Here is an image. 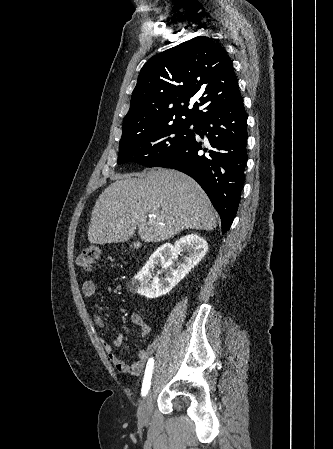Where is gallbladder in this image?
Returning a JSON list of instances; mask_svg holds the SVG:
<instances>
[{
  "mask_svg": "<svg viewBox=\"0 0 333 449\" xmlns=\"http://www.w3.org/2000/svg\"><path fill=\"white\" fill-rule=\"evenodd\" d=\"M133 247L137 248V247H138L137 243H134V244H133Z\"/></svg>",
  "mask_w": 333,
  "mask_h": 449,
  "instance_id": "obj_1",
  "label": "gallbladder"
}]
</instances>
